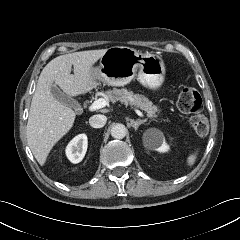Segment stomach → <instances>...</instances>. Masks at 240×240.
Segmentation results:
<instances>
[{"instance_id":"obj_1","label":"stomach","mask_w":240,"mask_h":240,"mask_svg":"<svg viewBox=\"0 0 240 240\" xmlns=\"http://www.w3.org/2000/svg\"><path fill=\"white\" fill-rule=\"evenodd\" d=\"M93 73L97 84L103 82L111 86H124L137 75L144 87L155 90L164 82L166 67L159 55L114 46L105 51L99 66L93 67Z\"/></svg>"}]
</instances>
